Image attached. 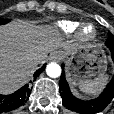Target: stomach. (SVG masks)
<instances>
[{
	"mask_svg": "<svg viewBox=\"0 0 114 114\" xmlns=\"http://www.w3.org/2000/svg\"><path fill=\"white\" fill-rule=\"evenodd\" d=\"M58 53L66 64L69 82L75 86L105 76L108 60L104 50L98 45L78 46L69 52Z\"/></svg>",
	"mask_w": 114,
	"mask_h": 114,
	"instance_id": "obj_1",
	"label": "stomach"
}]
</instances>
